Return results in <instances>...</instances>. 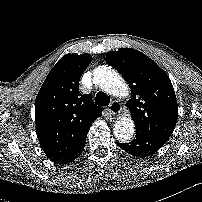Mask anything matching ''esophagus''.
Returning a JSON list of instances; mask_svg holds the SVG:
<instances>
[{"mask_svg": "<svg viewBox=\"0 0 202 202\" xmlns=\"http://www.w3.org/2000/svg\"><path fill=\"white\" fill-rule=\"evenodd\" d=\"M108 112H110L112 115L119 114L122 110V107L118 101H113L109 107H108Z\"/></svg>", "mask_w": 202, "mask_h": 202, "instance_id": "34e87169", "label": "esophagus"}]
</instances>
